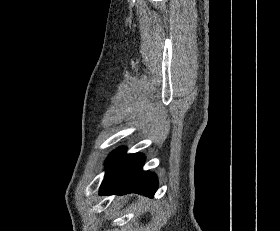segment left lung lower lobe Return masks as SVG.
Wrapping results in <instances>:
<instances>
[{"label": "left lung lower lobe", "instance_id": "0a47b994", "mask_svg": "<svg viewBox=\"0 0 280 231\" xmlns=\"http://www.w3.org/2000/svg\"><path fill=\"white\" fill-rule=\"evenodd\" d=\"M145 158L142 154H125L120 148L107 158L106 174L100 187V195L139 193L153 197L158 182L154 174L142 170Z\"/></svg>", "mask_w": 280, "mask_h": 231}]
</instances>
